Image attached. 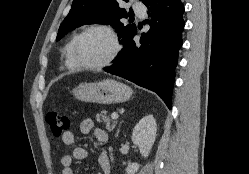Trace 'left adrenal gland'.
<instances>
[{"instance_id":"obj_1","label":"left adrenal gland","mask_w":249,"mask_h":174,"mask_svg":"<svg viewBox=\"0 0 249 174\" xmlns=\"http://www.w3.org/2000/svg\"><path fill=\"white\" fill-rule=\"evenodd\" d=\"M118 134H119V129H118V131H117V133H116V137L118 136Z\"/></svg>"}]
</instances>
